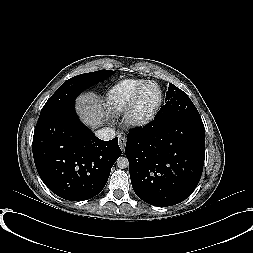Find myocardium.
Segmentation results:
<instances>
[{
	"label": "myocardium",
	"mask_w": 253,
	"mask_h": 253,
	"mask_svg": "<svg viewBox=\"0 0 253 253\" xmlns=\"http://www.w3.org/2000/svg\"><path fill=\"white\" fill-rule=\"evenodd\" d=\"M150 85H154L158 88L160 98L156 106L150 112L143 114L140 111L141 97L144 90ZM163 102H164V93L159 84H157L154 81H146L143 85L139 87L131 104L126 110L125 113L126 122L134 127H144L150 124L155 119L157 113L161 109Z\"/></svg>",
	"instance_id": "1"
}]
</instances>
